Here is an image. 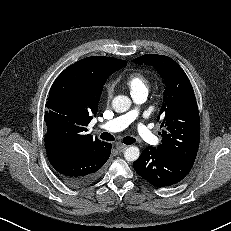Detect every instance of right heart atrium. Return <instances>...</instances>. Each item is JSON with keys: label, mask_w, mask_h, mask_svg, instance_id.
<instances>
[{"label": "right heart atrium", "mask_w": 231, "mask_h": 231, "mask_svg": "<svg viewBox=\"0 0 231 231\" xmlns=\"http://www.w3.org/2000/svg\"><path fill=\"white\" fill-rule=\"evenodd\" d=\"M113 92H114V88L111 84H108L105 88V94H106V97L109 99L112 97L113 95Z\"/></svg>", "instance_id": "d8ad5b80"}]
</instances>
